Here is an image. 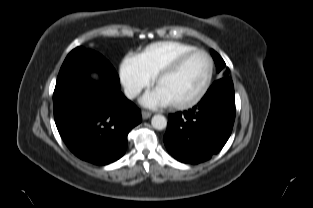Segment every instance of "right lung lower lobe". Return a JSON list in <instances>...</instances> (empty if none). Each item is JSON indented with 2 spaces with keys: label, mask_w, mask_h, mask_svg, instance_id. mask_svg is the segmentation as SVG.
Returning a JSON list of instances; mask_svg holds the SVG:
<instances>
[{
  "label": "right lung lower lobe",
  "mask_w": 313,
  "mask_h": 208,
  "mask_svg": "<svg viewBox=\"0 0 313 208\" xmlns=\"http://www.w3.org/2000/svg\"><path fill=\"white\" fill-rule=\"evenodd\" d=\"M97 72L100 80L90 77ZM54 118L67 147L80 159L97 165L123 156L129 131L141 112L122 93L112 65L99 53L82 47L66 57L53 94Z\"/></svg>",
  "instance_id": "right-lung-lower-lobe-1"
}]
</instances>
